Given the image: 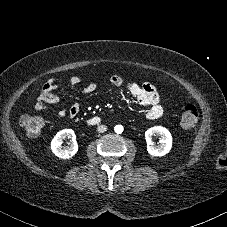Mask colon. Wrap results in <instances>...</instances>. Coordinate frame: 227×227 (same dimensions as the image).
Here are the masks:
<instances>
[{
  "label": "colon",
  "mask_w": 227,
  "mask_h": 227,
  "mask_svg": "<svg viewBox=\"0 0 227 227\" xmlns=\"http://www.w3.org/2000/svg\"><path fill=\"white\" fill-rule=\"evenodd\" d=\"M180 126L183 129H191L198 122V110L194 104H186L180 115ZM20 125L24 131L31 135H37L45 126V119L40 116L26 115L20 119Z\"/></svg>",
  "instance_id": "colon-1"
}]
</instances>
